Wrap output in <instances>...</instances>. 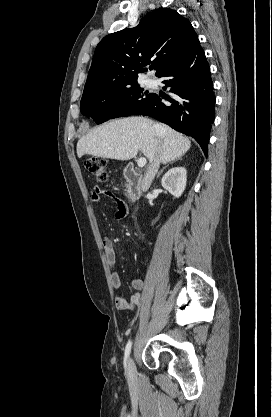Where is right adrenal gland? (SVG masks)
<instances>
[{"label": "right adrenal gland", "instance_id": "right-adrenal-gland-1", "mask_svg": "<svg viewBox=\"0 0 272 417\" xmlns=\"http://www.w3.org/2000/svg\"><path fill=\"white\" fill-rule=\"evenodd\" d=\"M178 160H181V158H177V159H175V160H173L172 162H171V164L172 163H174L175 161H178ZM168 165H166L165 167H163L161 170H160V172L158 173V175H157V178H159L160 177V175L162 174V172L164 171V169L167 167Z\"/></svg>", "mask_w": 272, "mask_h": 417}]
</instances>
